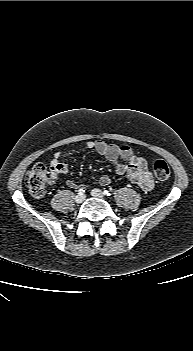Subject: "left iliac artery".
<instances>
[{"mask_svg":"<svg viewBox=\"0 0 193 351\" xmlns=\"http://www.w3.org/2000/svg\"><path fill=\"white\" fill-rule=\"evenodd\" d=\"M104 195H106V196H110L111 195V193H110V191H108V190H104Z\"/></svg>","mask_w":193,"mask_h":351,"instance_id":"obj_1","label":"left iliac artery"}]
</instances>
